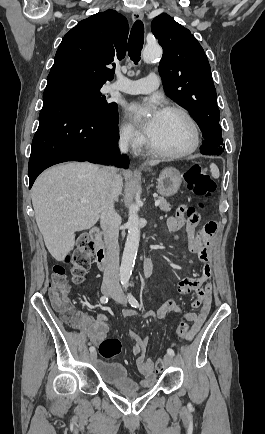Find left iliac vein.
Instances as JSON below:
<instances>
[{"label":"left iliac vein","mask_w":265,"mask_h":434,"mask_svg":"<svg viewBox=\"0 0 265 434\" xmlns=\"http://www.w3.org/2000/svg\"><path fill=\"white\" fill-rule=\"evenodd\" d=\"M110 296L116 300L117 302L121 303V304H127V298L125 296V294L123 293V291L117 286L116 288H114V291L110 294ZM174 362V358L172 355L170 354H166L164 356V363L163 366L164 367H169L173 364Z\"/></svg>","instance_id":"obj_1"}]
</instances>
